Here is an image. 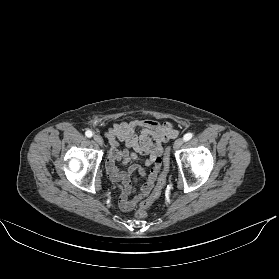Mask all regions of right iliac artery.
Wrapping results in <instances>:
<instances>
[{"label": "right iliac artery", "mask_w": 279, "mask_h": 279, "mask_svg": "<svg viewBox=\"0 0 279 279\" xmlns=\"http://www.w3.org/2000/svg\"><path fill=\"white\" fill-rule=\"evenodd\" d=\"M85 135L87 136V137H92L93 136V133H92V131H90V130H87L86 132H85Z\"/></svg>", "instance_id": "1"}]
</instances>
